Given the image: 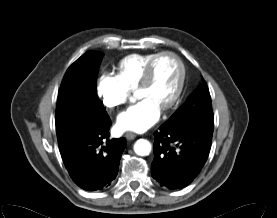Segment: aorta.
Listing matches in <instances>:
<instances>
[{"instance_id":"obj_1","label":"aorta","mask_w":277,"mask_h":218,"mask_svg":"<svg viewBox=\"0 0 277 218\" xmlns=\"http://www.w3.org/2000/svg\"><path fill=\"white\" fill-rule=\"evenodd\" d=\"M151 149V143L146 139H139L134 144V152L139 156L149 155Z\"/></svg>"}]
</instances>
